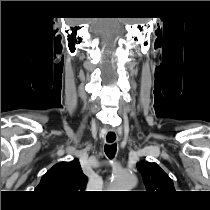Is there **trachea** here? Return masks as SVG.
Wrapping results in <instances>:
<instances>
[{
    "instance_id": "3493384b",
    "label": "trachea",
    "mask_w": 210,
    "mask_h": 210,
    "mask_svg": "<svg viewBox=\"0 0 210 210\" xmlns=\"http://www.w3.org/2000/svg\"><path fill=\"white\" fill-rule=\"evenodd\" d=\"M117 146L116 143H113L111 145H105V153L108 156L109 159H112L116 154Z\"/></svg>"
}]
</instances>
